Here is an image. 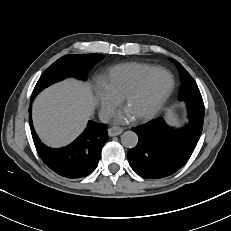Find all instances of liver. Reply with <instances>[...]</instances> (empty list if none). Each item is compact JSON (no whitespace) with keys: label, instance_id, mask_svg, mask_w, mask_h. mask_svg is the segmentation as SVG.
Instances as JSON below:
<instances>
[{"label":"liver","instance_id":"1","mask_svg":"<svg viewBox=\"0 0 231 231\" xmlns=\"http://www.w3.org/2000/svg\"><path fill=\"white\" fill-rule=\"evenodd\" d=\"M94 105L91 89L86 84L67 79L52 85L34 100L36 132L48 146H65L83 131Z\"/></svg>","mask_w":231,"mask_h":231}]
</instances>
